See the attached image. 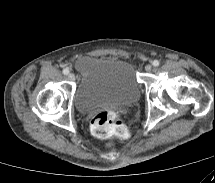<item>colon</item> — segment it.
<instances>
[{"instance_id":"1","label":"colon","mask_w":215,"mask_h":183,"mask_svg":"<svg viewBox=\"0 0 215 183\" xmlns=\"http://www.w3.org/2000/svg\"><path fill=\"white\" fill-rule=\"evenodd\" d=\"M92 133L100 138L110 136H124L127 128L118 113L114 110H105L96 114L91 120Z\"/></svg>"}]
</instances>
